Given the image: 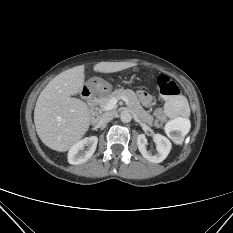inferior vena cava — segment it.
Returning <instances> with one entry per match:
<instances>
[{
  "label": "inferior vena cava",
  "mask_w": 233,
  "mask_h": 233,
  "mask_svg": "<svg viewBox=\"0 0 233 233\" xmlns=\"http://www.w3.org/2000/svg\"><path fill=\"white\" fill-rule=\"evenodd\" d=\"M114 116H115L114 112H104L99 117V124H106L110 122L114 118Z\"/></svg>",
  "instance_id": "602c4592"
}]
</instances>
